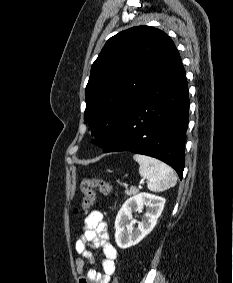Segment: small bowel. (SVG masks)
<instances>
[{
	"label": "small bowel",
	"instance_id": "small-bowel-1",
	"mask_svg": "<svg viewBox=\"0 0 233 283\" xmlns=\"http://www.w3.org/2000/svg\"><path fill=\"white\" fill-rule=\"evenodd\" d=\"M90 248H101L102 271L89 269L84 273L86 262L94 263L95 259ZM75 250L79 254L76 259V268L80 274L79 283H111L116 271L118 252L109 240L108 225L104 221L101 211L93 210L85 218L81 237L75 243Z\"/></svg>",
	"mask_w": 233,
	"mask_h": 283
}]
</instances>
